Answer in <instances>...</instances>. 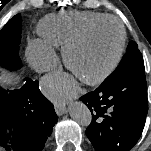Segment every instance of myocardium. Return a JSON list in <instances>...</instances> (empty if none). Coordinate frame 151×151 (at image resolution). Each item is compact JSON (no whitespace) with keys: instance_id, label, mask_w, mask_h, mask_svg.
I'll return each instance as SVG.
<instances>
[{"instance_id":"f54148a6","label":"myocardium","mask_w":151,"mask_h":151,"mask_svg":"<svg viewBox=\"0 0 151 151\" xmlns=\"http://www.w3.org/2000/svg\"><path fill=\"white\" fill-rule=\"evenodd\" d=\"M107 22L114 23L119 29L120 40L118 50L113 61L103 71L90 78H81V81L87 85H97L104 82L110 75H112V73L117 69V67L121 63L124 56L127 41L126 29L122 21L119 18L110 15L100 18L86 26L77 36H75L68 43H66L62 49L64 63L68 69L73 71V67L71 64L72 51L79 47L81 44H83L94 29Z\"/></svg>"}]
</instances>
